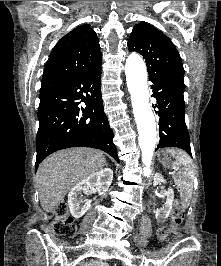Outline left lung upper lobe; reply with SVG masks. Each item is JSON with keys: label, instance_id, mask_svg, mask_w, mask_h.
I'll return each instance as SVG.
<instances>
[{"label": "left lung upper lobe", "instance_id": "left-lung-upper-lobe-1", "mask_svg": "<svg viewBox=\"0 0 221 266\" xmlns=\"http://www.w3.org/2000/svg\"><path fill=\"white\" fill-rule=\"evenodd\" d=\"M128 49L143 56L149 79L158 78L185 87L179 52L172 41L154 26L144 21L136 24L128 40Z\"/></svg>", "mask_w": 221, "mask_h": 266}]
</instances>
